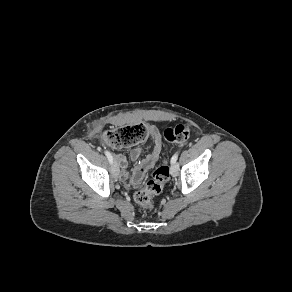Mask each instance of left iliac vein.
I'll return each mask as SVG.
<instances>
[{
    "label": "left iliac vein",
    "instance_id": "left-iliac-vein-1",
    "mask_svg": "<svg viewBox=\"0 0 292 292\" xmlns=\"http://www.w3.org/2000/svg\"><path fill=\"white\" fill-rule=\"evenodd\" d=\"M178 172H179V166L178 164L174 163V164H171V167H170V173L173 177L177 176L178 175Z\"/></svg>",
    "mask_w": 292,
    "mask_h": 292
}]
</instances>
